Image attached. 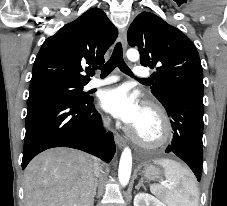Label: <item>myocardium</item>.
<instances>
[{
  "label": "myocardium",
  "instance_id": "f54148a6",
  "mask_svg": "<svg viewBox=\"0 0 227 206\" xmlns=\"http://www.w3.org/2000/svg\"><path fill=\"white\" fill-rule=\"evenodd\" d=\"M144 111L150 113L156 119L158 134L152 139H145L134 129L131 132L133 141L144 148H158L164 146L169 142L172 135L171 123L166 111L160 104L153 101L145 103Z\"/></svg>",
  "mask_w": 227,
  "mask_h": 206
}]
</instances>
